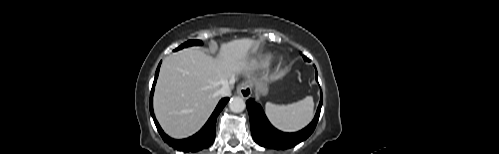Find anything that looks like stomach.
<instances>
[{"instance_id": "0dacf381", "label": "stomach", "mask_w": 499, "mask_h": 154, "mask_svg": "<svg viewBox=\"0 0 499 154\" xmlns=\"http://www.w3.org/2000/svg\"><path fill=\"white\" fill-rule=\"evenodd\" d=\"M255 88H256V92L258 94H262V95H265L268 91V87L265 83L263 82H258L255 84Z\"/></svg>"}]
</instances>
